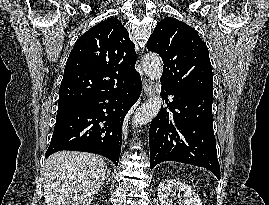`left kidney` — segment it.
Returning <instances> with one entry per match:
<instances>
[{"label":"left kidney","instance_id":"1","mask_svg":"<svg viewBox=\"0 0 269 205\" xmlns=\"http://www.w3.org/2000/svg\"><path fill=\"white\" fill-rule=\"evenodd\" d=\"M183 192V199L178 202V205H203L198 195L192 188L175 179L162 180L158 186V197L160 205H172V200L169 198L171 193Z\"/></svg>","mask_w":269,"mask_h":205}]
</instances>
